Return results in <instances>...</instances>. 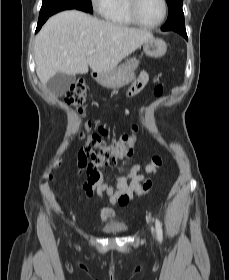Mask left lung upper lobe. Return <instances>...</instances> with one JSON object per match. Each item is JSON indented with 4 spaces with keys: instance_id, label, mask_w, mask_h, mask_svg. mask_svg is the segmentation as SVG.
I'll return each instance as SVG.
<instances>
[{
    "instance_id": "1",
    "label": "left lung upper lobe",
    "mask_w": 229,
    "mask_h": 280,
    "mask_svg": "<svg viewBox=\"0 0 229 280\" xmlns=\"http://www.w3.org/2000/svg\"><path fill=\"white\" fill-rule=\"evenodd\" d=\"M169 7L168 19L162 27L163 31L185 28L184 13L182 10L183 0H166Z\"/></svg>"
}]
</instances>
